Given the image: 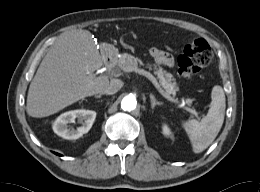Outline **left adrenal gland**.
I'll list each match as a JSON object with an SVG mask.
<instances>
[{"label": "left adrenal gland", "instance_id": "obj_1", "mask_svg": "<svg viewBox=\"0 0 260 192\" xmlns=\"http://www.w3.org/2000/svg\"><path fill=\"white\" fill-rule=\"evenodd\" d=\"M151 108L154 109L156 105H161L162 103L157 101L153 94H150Z\"/></svg>", "mask_w": 260, "mask_h": 192}]
</instances>
